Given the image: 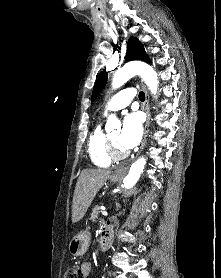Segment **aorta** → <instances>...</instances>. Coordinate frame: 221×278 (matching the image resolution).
<instances>
[{
    "instance_id": "1",
    "label": "aorta",
    "mask_w": 221,
    "mask_h": 278,
    "mask_svg": "<svg viewBox=\"0 0 221 278\" xmlns=\"http://www.w3.org/2000/svg\"><path fill=\"white\" fill-rule=\"evenodd\" d=\"M135 75H139L143 79L152 94L155 95L157 93L159 83L157 73L150 65L140 61L129 62L116 71L112 79L113 89L121 87ZM113 119L114 115H110L109 120ZM145 164L146 159L144 157L139 158L132 164L128 174L123 180L124 188L130 189L135 185L143 172Z\"/></svg>"
}]
</instances>
